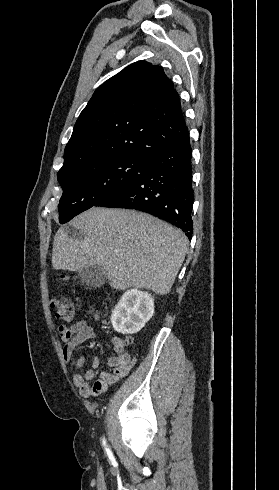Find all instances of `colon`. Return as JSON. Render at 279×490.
Returning <instances> with one entry per match:
<instances>
[{
  "label": "colon",
  "mask_w": 279,
  "mask_h": 490,
  "mask_svg": "<svg viewBox=\"0 0 279 490\" xmlns=\"http://www.w3.org/2000/svg\"><path fill=\"white\" fill-rule=\"evenodd\" d=\"M51 303L54 307L55 316L58 320H61L69 324H73L75 322L76 319L75 307L72 303L67 301L66 297L54 296L51 299ZM118 341H126L127 347H130L129 340H118Z\"/></svg>",
  "instance_id": "5ec220e1"
}]
</instances>
